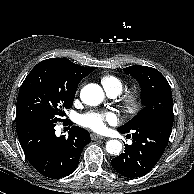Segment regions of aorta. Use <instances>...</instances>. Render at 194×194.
Instances as JSON below:
<instances>
[{"label": "aorta", "instance_id": "aorta-1", "mask_svg": "<svg viewBox=\"0 0 194 194\" xmlns=\"http://www.w3.org/2000/svg\"><path fill=\"white\" fill-rule=\"evenodd\" d=\"M80 98L83 103L90 106L99 105L104 99V92L97 84H88L84 86L80 93ZM122 150V143L118 140H109L106 143V151L109 154L117 155Z\"/></svg>", "mask_w": 194, "mask_h": 194}]
</instances>
